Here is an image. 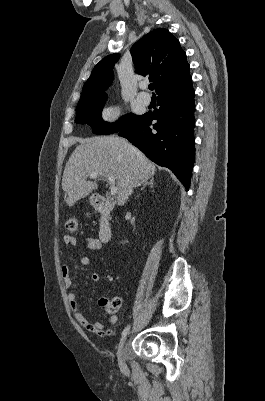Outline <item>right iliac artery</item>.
Here are the masks:
<instances>
[{"mask_svg":"<svg viewBox=\"0 0 265 401\" xmlns=\"http://www.w3.org/2000/svg\"><path fill=\"white\" fill-rule=\"evenodd\" d=\"M129 329H130V325L127 326V327L123 330V332H122V337H125V336L127 335Z\"/></svg>","mask_w":265,"mask_h":401,"instance_id":"right-iliac-artery-1","label":"right iliac artery"}]
</instances>
